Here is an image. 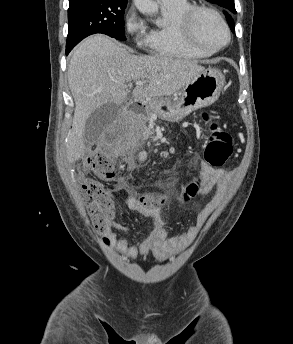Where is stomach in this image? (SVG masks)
I'll list each match as a JSON object with an SVG mask.
<instances>
[{"instance_id": "stomach-1", "label": "stomach", "mask_w": 293, "mask_h": 344, "mask_svg": "<svg viewBox=\"0 0 293 344\" xmlns=\"http://www.w3.org/2000/svg\"><path fill=\"white\" fill-rule=\"evenodd\" d=\"M225 84L224 75L216 68H207L195 75L175 96L141 101L150 115L176 122L192 111L214 103Z\"/></svg>"}]
</instances>
